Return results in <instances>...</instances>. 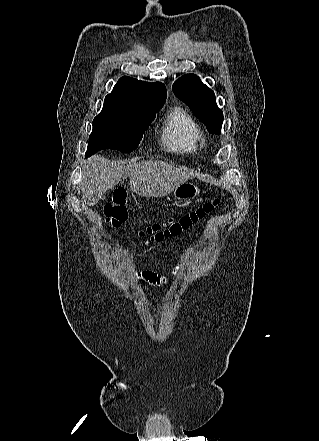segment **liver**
Segmentation results:
<instances>
[{
    "label": "liver",
    "instance_id": "liver-1",
    "mask_svg": "<svg viewBox=\"0 0 319 441\" xmlns=\"http://www.w3.org/2000/svg\"><path fill=\"white\" fill-rule=\"evenodd\" d=\"M193 170L175 167L164 161L111 163L100 155L88 159L83 167V201L94 206L109 189L129 177L131 190L139 196L162 197L193 178Z\"/></svg>",
    "mask_w": 319,
    "mask_h": 441
}]
</instances>
